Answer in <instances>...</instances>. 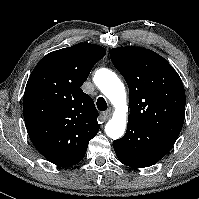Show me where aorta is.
<instances>
[{
  "mask_svg": "<svg viewBox=\"0 0 199 199\" xmlns=\"http://www.w3.org/2000/svg\"><path fill=\"white\" fill-rule=\"evenodd\" d=\"M95 83L115 107L113 117L105 126V132L108 137L119 139L125 132L128 112L124 84L109 69L98 70L95 74Z\"/></svg>",
  "mask_w": 199,
  "mask_h": 199,
  "instance_id": "obj_1",
  "label": "aorta"
}]
</instances>
